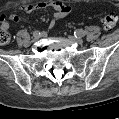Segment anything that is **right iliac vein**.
Instances as JSON below:
<instances>
[{
	"instance_id": "obj_1",
	"label": "right iliac vein",
	"mask_w": 119,
	"mask_h": 119,
	"mask_svg": "<svg viewBox=\"0 0 119 119\" xmlns=\"http://www.w3.org/2000/svg\"><path fill=\"white\" fill-rule=\"evenodd\" d=\"M41 37V35H34V37H33V41H37V40H39V38Z\"/></svg>"
}]
</instances>
